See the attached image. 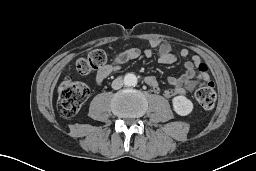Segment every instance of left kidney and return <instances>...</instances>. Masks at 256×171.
<instances>
[{"label": "left kidney", "instance_id": "left-kidney-1", "mask_svg": "<svg viewBox=\"0 0 256 171\" xmlns=\"http://www.w3.org/2000/svg\"><path fill=\"white\" fill-rule=\"evenodd\" d=\"M173 109L180 116H186L193 110V103L185 96H176L172 99Z\"/></svg>", "mask_w": 256, "mask_h": 171}]
</instances>
